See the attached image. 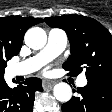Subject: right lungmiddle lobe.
<instances>
[{"label": "right lung middle lobe", "mask_w": 112, "mask_h": 112, "mask_svg": "<svg viewBox=\"0 0 112 112\" xmlns=\"http://www.w3.org/2000/svg\"><path fill=\"white\" fill-rule=\"evenodd\" d=\"M19 51H13V52H0V79L4 78V69L6 67V63L8 60H10L13 56L17 55Z\"/></svg>", "instance_id": "obj_1"}]
</instances>
